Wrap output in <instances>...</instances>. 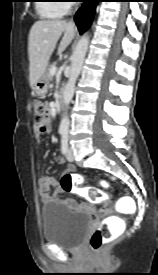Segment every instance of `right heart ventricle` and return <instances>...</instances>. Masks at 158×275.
Listing matches in <instances>:
<instances>
[{
	"mask_svg": "<svg viewBox=\"0 0 158 275\" xmlns=\"http://www.w3.org/2000/svg\"><path fill=\"white\" fill-rule=\"evenodd\" d=\"M60 1L45 0L37 5L39 13L46 18H60L65 14V7Z\"/></svg>",
	"mask_w": 158,
	"mask_h": 275,
	"instance_id": "e07e8e85",
	"label": "right heart ventricle"
}]
</instances>
